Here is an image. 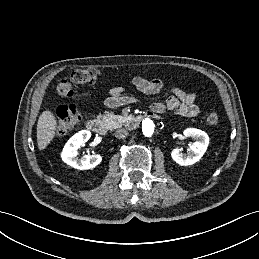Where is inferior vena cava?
Returning <instances> with one entry per match:
<instances>
[{
  "label": "inferior vena cava",
  "instance_id": "1",
  "mask_svg": "<svg viewBox=\"0 0 259 259\" xmlns=\"http://www.w3.org/2000/svg\"><path fill=\"white\" fill-rule=\"evenodd\" d=\"M128 135V131L126 129H118L115 132V137L118 139L125 138Z\"/></svg>",
  "mask_w": 259,
  "mask_h": 259
}]
</instances>
